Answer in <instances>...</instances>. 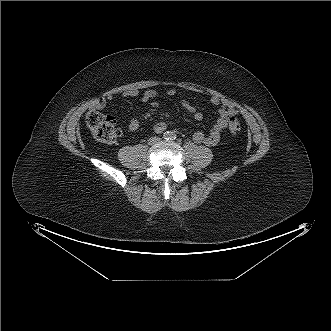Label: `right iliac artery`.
<instances>
[{
  "instance_id": "obj_1",
  "label": "right iliac artery",
  "mask_w": 331,
  "mask_h": 331,
  "mask_svg": "<svg viewBox=\"0 0 331 331\" xmlns=\"http://www.w3.org/2000/svg\"><path fill=\"white\" fill-rule=\"evenodd\" d=\"M164 139H168L169 138V136H168V134H166V133H164Z\"/></svg>"
}]
</instances>
